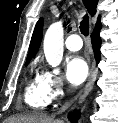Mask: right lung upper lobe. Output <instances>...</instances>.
I'll use <instances>...</instances> for the list:
<instances>
[{"instance_id":"right-lung-upper-lobe-1","label":"right lung upper lobe","mask_w":118,"mask_h":123,"mask_svg":"<svg viewBox=\"0 0 118 123\" xmlns=\"http://www.w3.org/2000/svg\"><path fill=\"white\" fill-rule=\"evenodd\" d=\"M83 3L86 9L88 10L89 14L93 16L96 13L98 0H83ZM42 28H43V21L42 19H40L36 24V27L34 29V32L31 38L26 65L29 63L30 59L34 57L36 52L38 51V48L42 40ZM100 28H101V22L99 17L96 23V30H100Z\"/></svg>"}]
</instances>
